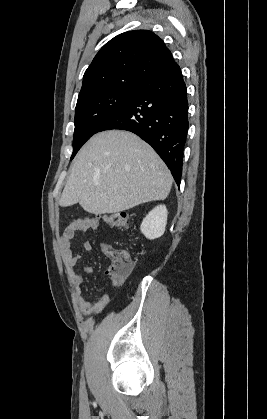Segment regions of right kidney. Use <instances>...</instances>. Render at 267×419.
I'll return each mask as SVG.
<instances>
[{"instance_id": "right-kidney-1", "label": "right kidney", "mask_w": 267, "mask_h": 419, "mask_svg": "<svg viewBox=\"0 0 267 419\" xmlns=\"http://www.w3.org/2000/svg\"><path fill=\"white\" fill-rule=\"evenodd\" d=\"M168 211L165 205L156 206L143 219L140 226L141 232L148 239H156L161 237L165 232L167 224Z\"/></svg>"}]
</instances>
